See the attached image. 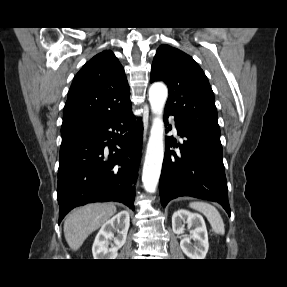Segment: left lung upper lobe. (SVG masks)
<instances>
[{"label":"left lung upper lobe","mask_w":287,"mask_h":287,"mask_svg":"<svg viewBox=\"0 0 287 287\" xmlns=\"http://www.w3.org/2000/svg\"><path fill=\"white\" fill-rule=\"evenodd\" d=\"M154 81L168 85L165 111L221 144L214 94L205 73L192 57L169 45H161L152 64L151 82Z\"/></svg>","instance_id":"left-lung-upper-lobe-1"}]
</instances>
